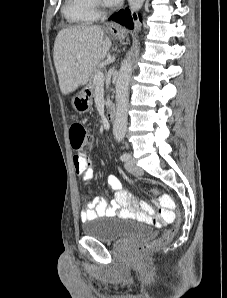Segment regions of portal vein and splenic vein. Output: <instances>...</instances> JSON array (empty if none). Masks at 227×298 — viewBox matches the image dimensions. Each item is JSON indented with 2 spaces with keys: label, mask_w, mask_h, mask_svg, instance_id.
I'll return each mask as SVG.
<instances>
[{
  "label": "portal vein and splenic vein",
  "mask_w": 227,
  "mask_h": 298,
  "mask_svg": "<svg viewBox=\"0 0 227 298\" xmlns=\"http://www.w3.org/2000/svg\"><path fill=\"white\" fill-rule=\"evenodd\" d=\"M94 81L98 86H102L103 83H104V74H103V72H100L99 74H97Z\"/></svg>",
  "instance_id": "1"
}]
</instances>
